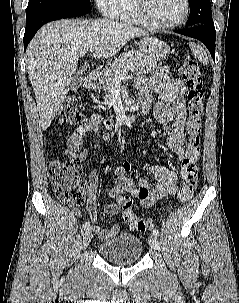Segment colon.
Wrapping results in <instances>:
<instances>
[{"label":"colon","instance_id":"obj_1","mask_svg":"<svg viewBox=\"0 0 239 303\" xmlns=\"http://www.w3.org/2000/svg\"><path fill=\"white\" fill-rule=\"evenodd\" d=\"M181 73L186 81L187 107L189 118L186 125V150L181 162L182 183L177 198L180 203L192 199L198 186V159L200 156L201 116L204 109L203 77L198 62L188 58L184 61ZM81 119L74 98H68L61 107L57 121L75 124ZM81 163L76 158L52 160L48 163V176L56 197L64 204L81 206L86 201L87 185L80 175ZM133 199L129 195L123 198L122 215L131 230L150 231L153 223L149 219L136 216L132 211Z\"/></svg>","mask_w":239,"mask_h":303}]
</instances>
